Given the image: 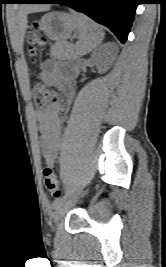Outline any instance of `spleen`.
Returning a JSON list of instances; mask_svg holds the SVG:
<instances>
[{"instance_id": "obj_1", "label": "spleen", "mask_w": 166, "mask_h": 267, "mask_svg": "<svg viewBox=\"0 0 166 267\" xmlns=\"http://www.w3.org/2000/svg\"><path fill=\"white\" fill-rule=\"evenodd\" d=\"M71 12L78 20L79 41L76 52L78 55H86L102 43L105 33L100 25L86 15Z\"/></svg>"}]
</instances>
